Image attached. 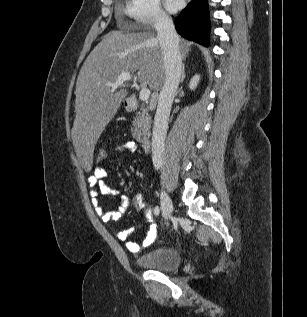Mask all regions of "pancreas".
<instances>
[{"instance_id": "cf45deb5", "label": "pancreas", "mask_w": 307, "mask_h": 317, "mask_svg": "<svg viewBox=\"0 0 307 317\" xmlns=\"http://www.w3.org/2000/svg\"><path fill=\"white\" fill-rule=\"evenodd\" d=\"M151 127V117L148 108L141 106L133 120L132 136L137 142L143 141V136Z\"/></svg>"}]
</instances>
